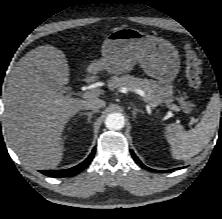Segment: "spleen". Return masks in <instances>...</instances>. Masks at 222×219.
Returning <instances> with one entry per match:
<instances>
[{
    "label": "spleen",
    "mask_w": 222,
    "mask_h": 219,
    "mask_svg": "<svg viewBox=\"0 0 222 219\" xmlns=\"http://www.w3.org/2000/svg\"><path fill=\"white\" fill-rule=\"evenodd\" d=\"M222 101L214 94L195 128L184 131L182 125L169 124L165 127V136L171 145L172 156L177 160H187L197 155L210 142L220 121Z\"/></svg>",
    "instance_id": "3e777b00"
}]
</instances>
